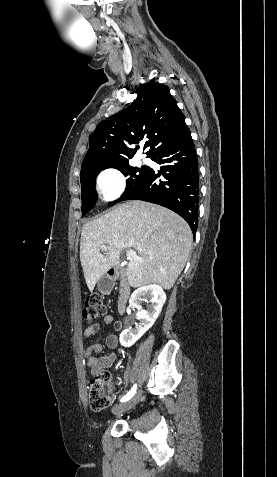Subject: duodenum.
Listing matches in <instances>:
<instances>
[{
    "label": "duodenum",
    "instance_id": "1",
    "mask_svg": "<svg viewBox=\"0 0 277 477\" xmlns=\"http://www.w3.org/2000/svg\"><path fill=\"white\" fill-rule=\"evenodd\" d=\"M107 280L109 288L112 287L115 281L119 280L117 311L119 314H124L127 309L128 301L130 298V287L126 274L121 268L114 267L107 271Z\"/></svg>",
    "mask_w": 277,
    "mask_h": 477
}]
</instances>
